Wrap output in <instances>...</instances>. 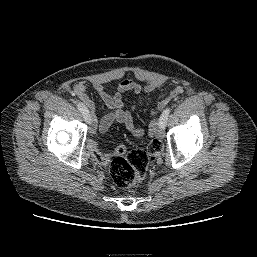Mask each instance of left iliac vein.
Returning a JSON list of instances; mask_svg holds the SVG:
<instances>
[{
  "mask_svg": "<svg viewBox=\"0 0 257 257\" xmlns=\"http://www.w3.org/2000/svg\"><path fill=\"white\" fill-rule=\"evenodd\" d=\"M164 126L163 125H158V129H157V136L159 138H163L164 137Z\"/></svg>",
  "mask_w": 257,
  "mask_h": 257,
  "instance_id": "left-iliac-vein-1",
  "label": "left iliac vein"
}]
</instances>
